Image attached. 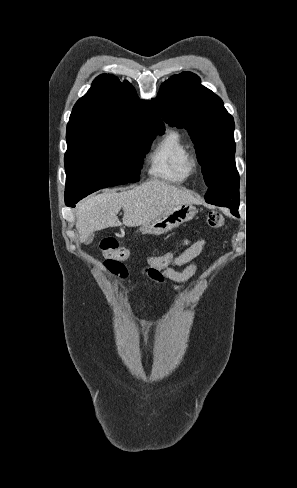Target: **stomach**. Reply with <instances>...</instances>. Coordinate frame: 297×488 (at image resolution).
I'll list each match as a JSON object with an SVG mask.
<instances>
[{"instance_id": "stomach-1", "label": "stomach", "mask_w": 297, "mask_h": 488, "mask_svg": "<svg viewBox=\"0 0 297 488\" xmlns=\"http://www.w3.org/2000/svg\"><path fill=\"white\" fill-rule=\"evenodd\" d=\"M196 213L197 209L193 204L176 205L151 222L143 224L140 227V232L154 235L164 234L177 228L180 224L192 220Z\"/></svg>"}]
</instances>
